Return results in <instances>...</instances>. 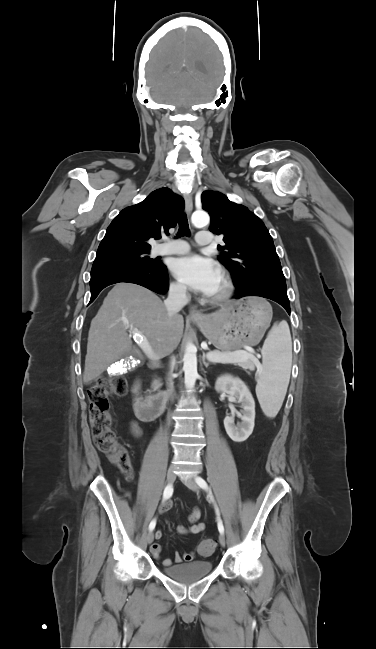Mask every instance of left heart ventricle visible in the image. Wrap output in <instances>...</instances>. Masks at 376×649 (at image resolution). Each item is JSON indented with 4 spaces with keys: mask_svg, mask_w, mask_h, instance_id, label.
<instances>
[{
    "mask_svg": "<svg viewBox=\"0 0 376 649\" xmlns=\"http://www.w3.org/2000/svg\"><path fill=\"white\" fill-rule=\"evenodd\" d=\"M222 288H223V283H222V280H221V277H220V280L218 281V283H217L216 287L214 288L213 292L211 293V295L218 294L222 290Z\"/></svg>",
    "mask_w": 376,
    "mask_h": 649,
    "instance_id": "obj_1",
    "label": "left heart ventricle"
}]
</instances>
